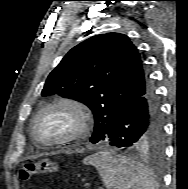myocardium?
<instances>
[{"label": "myocardium", "instance_id": "1", "mask_svg": "<svg viewBox=\"0 0 188 189\" xmlns=\"http://www.w3.org/2000/svg\"><path fill=\"white\" fill-rule=\"evenodd\" d=\"M53 109H65L74 115L75 126L65 136L53 140H42L36 134V127L41 116ZM92 124V115L88 107L80 100L73 97H57L44 104L36 113L31 124V135L33 139L43 146L61 145L75 141L86 135Z\"/></svg>", "mask_w": 188, "mask_h": 189}]
</instances>
